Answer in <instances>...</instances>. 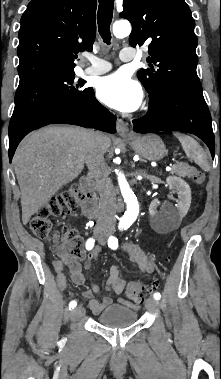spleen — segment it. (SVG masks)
<instances>
[{"mask_svg":"<svg viewBox=\"0 0 221 379\" xmlns=\"http://www.w3.org/2000/svg\"><path fill=\"white\" fill-rule=\"evenodd\" d=\"M177 139L180 141L186 156L193 160L202 170L209 171L210 165L208 163L207 155L204 149L192 137L175 133Z\"/></svg>","mask_w":221,"mask_h":379,"instance_id":"obj_1","label":"spleen"}]
</instances>
